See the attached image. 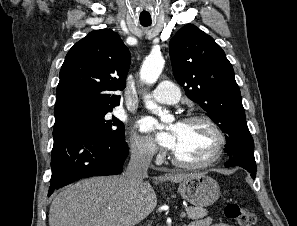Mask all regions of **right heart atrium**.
<instances>
[{
    "mask_svg": "<svg viewBox=\"0 0 297 226\" xmlns=\"http://www.w3.org/2000/svg\"><path fill=\"white\" fill-rule=\"evenodd\" d=\"M129 146L133 158L143 163H149L157 153L150 140L136 133L131 135Z\"/></svg>",
    "mask_w": 297,
    "mask_h": 226,
    "instance_id": "right-heart-atrium-1",
    "label": "right heart atrium"
}]
</instances>
